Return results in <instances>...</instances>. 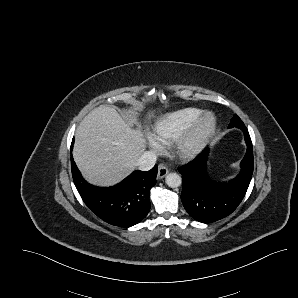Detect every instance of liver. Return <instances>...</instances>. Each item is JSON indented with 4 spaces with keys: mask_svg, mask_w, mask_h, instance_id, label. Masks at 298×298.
I'll list each match as a JSON object with an SVG mask.
<instances>
[{
    "mask_svg": "<svg viewBox=\"0 0 298 298\" xmlns=\"http://www.w3.org/2000/svg\"><path fill=\"white\" fill-rule=\"evenodd\" d=\"M145 149L140 128L132 129L115 108L99 106L77 127L73 158L89 183L110 186L136 169Z\"/></svg>",
    "mask_w": 298,
    "mask_h": 298,
    "instance_id": "liver-1",
    "label": "liver"
}]
</instances>
